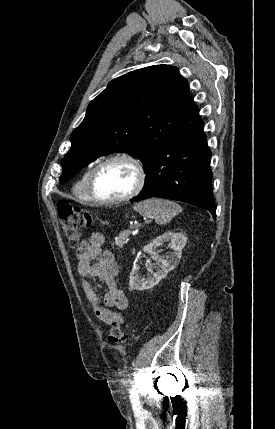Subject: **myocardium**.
<instances>
[{"label":"myocardium","instance_id":"myocardium-1","mask_svg":"<svg viewBox=\"0 0 275 429\" xmlns=\"http://www.w3.org/2000/svg\"><path fill=\"white\" fill-rule=\"evenodd\" d=\"M115 161H124L129 163L136 174V180L132 189L125 195L114 198V199H101L98 198L94 192V181L98 172L107 164L115 162ZM146 179V173L143 164L136 157L127 154V153H119L106 157L105 159L98 162L90 171L88 180H87V194L90 198V201L99 204V205H115L119 203H123L129 201L134 198L136 195L140 193L142 190Z\"/></svg>","mask_w":275,"mask_h":429}]
</instances>
